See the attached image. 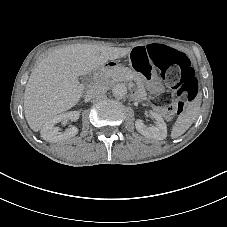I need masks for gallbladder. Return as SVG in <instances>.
Wrapping results in <instances>:
<instances>
[{
  "mask_svg": "<svg viewBox=\"0 0 227 227\" xmlns=\"http://www.w3.org/2000/svg\"><path fill=\"white\" fill-rule=\"evenodd\" d=\"M94 74L93 72L85 74L80 77V82L84 85V87H90L93 85Z\"/></svg>",
  "mask_w": 227,
  "mask_h": 227,
  "instance_id": "obj_1",
  "label": "gallbladder"
}]
</instances>
